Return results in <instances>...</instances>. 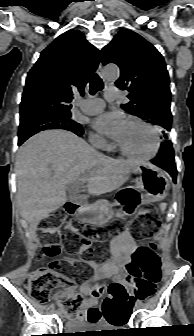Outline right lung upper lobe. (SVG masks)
Wrapping results in <instances>:
<instances>
[{
    "label": "right lung upper lobe",
    "mask_w": 194,
    "mask_h": 336,
    "mask_svg": "<svg viewBox=\"0 0 194 336\" xmlns=\"http://www.w3.org/2000/svg\"><path fill=\"white\" fill-rule=\"evenodd\" d=\"M100 51L71 29L44 49L29 71L20 103V121L48 111L70 112L74 92L84 94Z\"/></svg>",
    "instance_id": "cb5924a9"
}]
</instances>
